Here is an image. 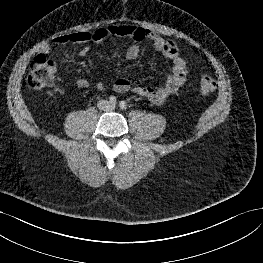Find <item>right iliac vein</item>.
I'll use <instances>...</instances> for the list:
<instances>
[{"mask_svg": "<svg viewBox=\"0 0 263 263\" xmlns=\"http://www.w3.org/2000/svg\"><path fill=\"white\" fill-rule=\"evenodd\" d=\"M102 106H103V107L106 106V103H103Z\"/></svg>", "mask_w": 263, "mask_h": 263, "instance_id": "right-iliac-vein-1", "label": "right iliac vein"}]
</instances>
